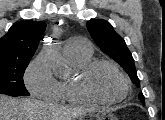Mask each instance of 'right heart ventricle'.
I'll list each match as a JSON object with an SVG mask.
<instances>
[{"label":"right heart ventricle","mask_w":165,"mask_h":120,"mask_svg":"<svg viewBox=\"0 0 165 120\" xmlns=\"http://www.w3.org/2000/svg\"><path fill=\"white\" fill-rule=\"evenodd\" d=\"M65 56L72 66L74 73L71 77L59 82V91L56 100L69 104H84L88 100L79 92L77 80L82 68L93 60L92 52L89 53H67Z\"/></svg>","instance_id":"obj_1"}]
</instances>
